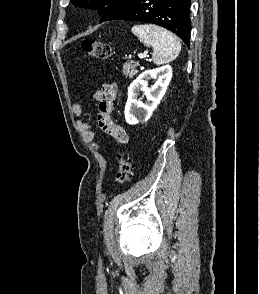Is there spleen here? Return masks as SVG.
Returning a JSON list of instances; mask_svg holds the SVG:
<instances>
[{
    "instance_id": "obj_1",
    "label": "spleen",
    "mask_w": 259,
    "mask_h": 294,
    "mask_svg": "<svg viewBox=\"0 0 259 294\" xmlns=\"http://www.w3.org/2000/svg\"><path fill=\"white\" fill-rule=\"evenodd\" d=\"M131 31L145 46L153 48L152 59L156 65L173 61L181 51L178 38L159 26L134 25Z\"/></svg>"
}]
</instances>
